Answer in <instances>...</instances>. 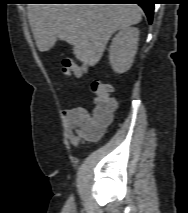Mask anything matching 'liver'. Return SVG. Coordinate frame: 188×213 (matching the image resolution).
<instances>
[{
    "mask_svg": "<svg viewBox=\"0 0 188 213\" xmlns=\"http://www.w3.org/2000/svg\"><path fill=\"white\" fill-rule=\"evenodd\" d=\"M27 10L39 51H49L60 39L71 44L75 57L88 66L101 60L117 30L142 19L136 4H29Z\"/></svg>",
    "mask_w": 188,
    "mask_h": 213,
    "instance_id": "liver-1",
    "label": "liver"
}]
</instances>
